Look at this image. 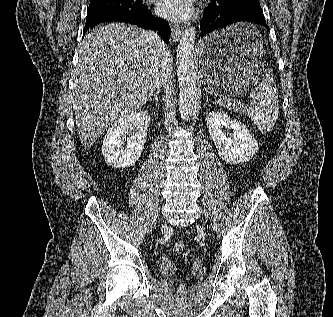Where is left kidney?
I'll list each match as a JSON object with an SVG mask.
<instances>
[{"instance_id":"5707ae66","label":"left kidney","mask_w":333,"mask_h":317,"mask_svg":"<svg viewBox=\"0 0 333 317\" xmlns=\"http://www.w3.org/2000/svg\"><path fill=\"white\" fill-rule=\"evenodd\" d=\"M206 124L220 158L226 163L248 162L258 152V143L250 130L225 112L207 113Z\"/></svg>"}]
</instances>
